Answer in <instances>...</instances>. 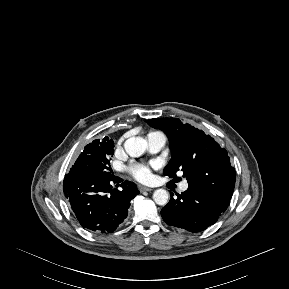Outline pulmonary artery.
Returning a JSON list of instances; mask_svg holds the SVG:
<instances>
[{
    "label": "pulmonary artery",
    "instance_id": "pulmonary-artery-1",
    "mask_svg": "<svg viewBox=\"0 0 289 289\" xmlns=\"http://www.w3.org/2000/svg\"><path fill=\"white\" fill-rule=\"evenodd\" d=\"M166 136L161 132H151L146 137L147 147L150 153H158L166 144ZM188 189V183L182 182L179 190L184 192Z\"/></svg>",
    "mask_w": 289,
    "mask_h": 289
}]
</instances>
